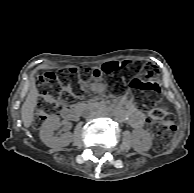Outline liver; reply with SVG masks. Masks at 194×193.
<instances>
[{"label": "liver", "instance_id": "1", "mask_svg": "<svg viewBox=\"0 0 194 193\" xmlns=\"http://www.w3.org/2000/svg\"><path fill=\"white\" fill-rule=\"evenodd\" d=\"M34 73L35 72L32 73L30 78V90L25 102L21 107V119L26 128L30 127L33 122L34 110L37 106V100L39 96L38 90L35 85V79L33 78Z\"/></svg>", "mask_w": 194, "mask_h": 193}]
</instances>
